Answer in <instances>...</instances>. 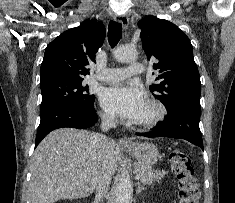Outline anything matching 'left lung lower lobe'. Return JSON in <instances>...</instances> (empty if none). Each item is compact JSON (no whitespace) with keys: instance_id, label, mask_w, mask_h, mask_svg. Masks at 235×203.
Listing matches in <instances>:
<instances>
[{"instance_id":"0a47b994","label":"left lung lower lobe","mask_w":235,"mask_h":203,"mask_svg":"<svg viewBox=\"0 0 235 203\" xmlns=\"http://www.w3.org/2000/svg\"><path fill=\"white\" fill-rule=\"evenodd\" d=\"M199 120L200 108L194 105H184L168 113V117L155 126L153 132L138 133L137 135L149 138L169 137L185 139L203 149Z\"/></svg>"}]
</instances>
